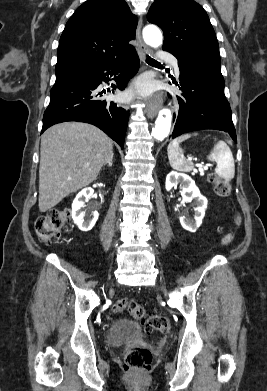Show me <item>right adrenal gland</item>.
<instances>
[{
    "instance_id": "obj_1",
    "label": "right adrenal gland",
    "mask_w": 267,
    "mask_h": 391,
    "mask_svg": "<svg viewBox=\"0 0 267 391\" xmlns=\"http://www.w3.org/2000/svg\"><path fill=\"white\" fill-rule=\"evenodd\" d=\"M112 160H113V156L108 162L104 163V166H106L108 164L110 167H112V164H113Z\"/></svg>"
}]
</instances>
